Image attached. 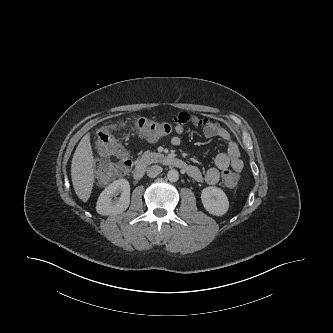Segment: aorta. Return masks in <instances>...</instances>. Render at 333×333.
I'll use <instances>...</instances> for the list:
<instances>
[{"label":"aorta","mask_w":333,"mask_h":333,"mask_svg":"<svg viewBox=\"0 0 333 333\" xmlns=\"http://www.w3.org/2000/svg\"><path fill=\"white\" fill-rule=\"evenodd\" d=\"M167 179L170 182H176L179 179V173H178V171L175 170V169L169 170L168 173H167Z\"/></svg>","instance_id":"762f6f07"}]
</instances>
